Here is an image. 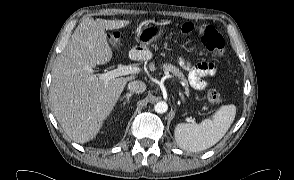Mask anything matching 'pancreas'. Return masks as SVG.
Here are the masks:
<instances>
[{"instance_id": "obj_1", "label": "pancreas", "mask_w": 294, "mask_h": 180, "mask_svg": "<svg viewBox=\"0 0 294 180\" xmlns=\"http://www.w3.org/2000/svg\"><path fill=\"white\" fill-rule=\"evenodd\" d=\"M164 68H165L166 70L172 71L175 75H177V71H178V69H177L176 67H172V66L165 65Z\"/></svg>"}]
</instances>
